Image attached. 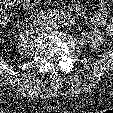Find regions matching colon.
Listing matches in <instances>:
<instances>
[{"instance_id":"obj_1","label":"colon","mask_w":113,"mask_h":113,"mask_svg":"<svg viewBox=\"0 0 113 113\" xmlns=\"http://www.w3.org/2000/svg\"><path fill=\"white\" fill-rule=\"evenodd\" d=\"M1 1H9V0H0V28L5 24V15L3 12V3ZM29 1H37V0H29Z\"/></svg>"}]
</instances>
